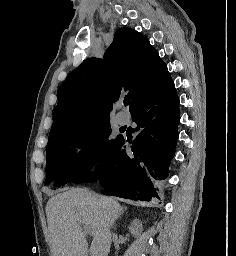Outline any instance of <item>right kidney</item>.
<instances>
[{
	"instance_id": "1",
	"label": "right kidney",
	"mask_w": 236,
	"mask_h": 256,
	"mask_svg": "<svg viewBox=\"0 0 236 256\" xmlns=\"http://www.w3.org/2000/svg\"><path fill=\"white\" fill-rule=\"evenodd\" d=\"M129 230L131 234L135 236V238H137V236H140L141 232H143V228L140 220H133V222H131L129 226Z\"/></svg>"
}]
</instances>
